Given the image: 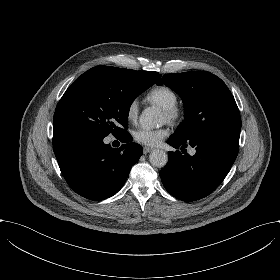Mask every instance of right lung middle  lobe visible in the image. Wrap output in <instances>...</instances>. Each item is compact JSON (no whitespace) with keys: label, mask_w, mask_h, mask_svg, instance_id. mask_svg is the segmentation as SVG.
Masks as SVG:
<instances>
[{"label":"right lung middle lobe","mask_w":280,"mask_h":280,"mask_svg":"<svg viewBox=\"0 0 280 280\" xmlns=\"http://www.w3.org/2000/svg\"><path fill=\"white\" fill-rule=\"evenodd\" d=\"M152 84L132 70L96 66L78 77L57 104L53 132L104 138L128 128L134 99Z\"/></svg>","instance_id":"obj_1"}]
</instances>
